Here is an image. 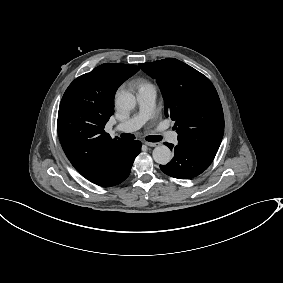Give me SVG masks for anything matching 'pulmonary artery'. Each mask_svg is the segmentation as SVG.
I'll return each instance as SVG.
<instances>
[{
  "label": "pulmonary artery",
  "instance_id": "obj_1",
  "mask_svg": "<svg viewBox=\"0 0 283 283\" xmlns=\"http://www.w3.org/2000/svg\"><path fill=\"white\" fill-rule=\"evenodd\" d=\"M138 111L126 120L114 126V131L129 133L138 130L149 118H151L155 103L156 90L152 85L141 86L137 91ZM165 138L168 142L177 141L178 133L170 130L166 133Z\"/></svg>",
  "mask_w": 283,
  "mask_h": 283
}]
</instances>
